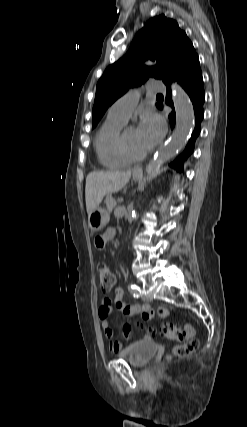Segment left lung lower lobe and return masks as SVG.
Masks as SVG:
<instances>
[{"mask_svg": "<svg viewBox=\"0 0 247 427\" xmlns=\"http://www.w3.org/2000/svg\"><path fill=\"white\" fill-rule=\"evenodd\" d=\"M183 87L186 93L189 95L194 108L195 113V128L192 132L191 138L183 151V153L176 158V160L171 164L174 167L183 168L182 162L187 159L189 155L193 152L194 142L198 135L200 134V123L204 116L203 104L205 101V93L203 88V78L202 72L200 69V63L198 56H196L174 79ZM171 81L166 83L167 94L165 102L167 105L172 107V112L169 115L171 127L173 128L175 125V110L172 102V92L170 87ZM162 109L163 106L160 105L158 107Z\"/></svg>", "mask_w": 247, "mask_h": 427, "instance_id": "obj_1", "label": "left lung lower lobe"}]
</instances>
